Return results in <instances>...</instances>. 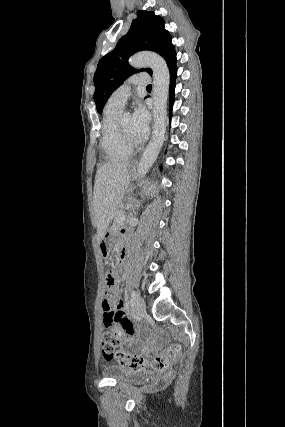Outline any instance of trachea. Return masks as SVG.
<instances>
[{
	"mask_svg": "<svg viewBox=\"0 0 285 427\" xmlns=\"http://www.w3.org/2000/svg\"><path fill=\"white\" fill-rule=\"evenodd\" d=\"M146 88H150V89H151V88H152V85H148Z\"/></svg>",
	"mask_w": 285,
	"mask_h": 427,
	"instance_id": "3493384b",
	"label": "trachea"
}]
</instances>
